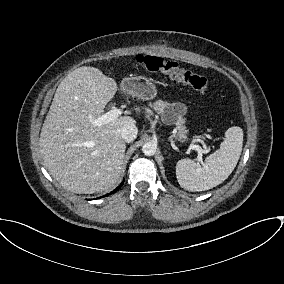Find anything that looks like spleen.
<instances>
[{
	"instance_id": "spleen-1",
	"label": "spleen",
	"mask_w": 284,
	"mask_h": 284,
	"mask_svg": "<svg viewBox=\"0 0 284 284\" xmlns=\"http://www.w3.org/2000/svg\"><path fill=\"white\" fill-rule=\"evenodd\" d=\"M243 146V130L230 127L220 148L200 165L191 159H181L176 165L180 186L188 191L209 190L225 181L236 167Z\"/></svg>"
}]
</instances>
